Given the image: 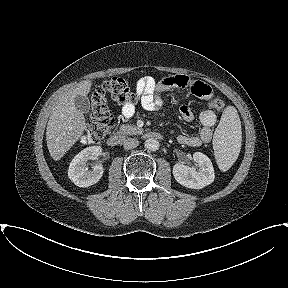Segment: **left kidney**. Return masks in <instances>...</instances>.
Segmentation results:
<instances>
[{
  "instance_id": "1",
  "label": "left kidney",
  "mask_w": 288,
  "mask_h": 288,
  "mask_svg": "<svg viewBox=\"0 0 288 288\" xmlns=\"http://www.w3.org/2000/svg\"><path fill=\"white\" fill-rule=\"evenodd\" d=\"M193 161L197 163L198 169L179 162L173 166V176L187 188L202 189L214 181V168L211 160L201 152L193 154Z\"/></svg>"
}]
</instances>
